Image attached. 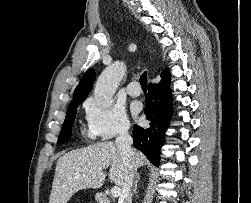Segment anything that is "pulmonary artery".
Listing matches in <instances>:
<instances>
[{"label": "pulmonary artery", "mask_w": 251, "mask_h": 203, "mask_svg": "<svg viewBox=\"0 0 251 203\" xmlns=\"http://www.w3.org/2000/svg\"><path fill=\"white\" fill-rule=\"evenodd\" d=\"M126 91L130 96L133 97H137L141 94L139 84L136 81L130 82L126 87Z\"/></svg>", "instance_id": "e3ab8cb5"}]
</instances>
